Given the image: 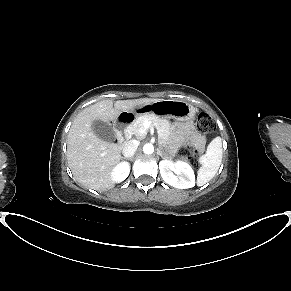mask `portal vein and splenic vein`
I'll return each mask as SVG.
<instances>
[{"instance_id": "18ae733b", "label": "portal vein and splenic vein", "mask_w": 291, "mask_h": 291, "mask_svg": "<svg viewBox=\"0 0 291 291\" xmlns=\"http://www.w3.org/2000/svg\"><path fill=\"white\" fill-rule=\"evenodd\" d=\"M149 125H150V122H148V121H146V122L144 123V126H145L146 129H148Z\"/></svg>"}]
</instances>
